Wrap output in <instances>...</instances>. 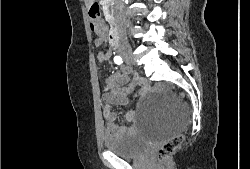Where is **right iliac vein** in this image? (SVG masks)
I'll return each instance as SVG.
<instances>
[{"label":"right iliac vein","mask_w":250,"mask_h":169,"mask_svg":"<svg viewBox=\"0 0 250 169\" xmlns=\"http://www.w3.org/2000/svg\"><path fill=\"white\" fill-rule=\"evenodd\" d=\"M129 63L133 64L134 63V58L133 56H131L129 59H128Z\"/></svg>","instance_id":"right-iliac-vein-1"}]
</instances>
